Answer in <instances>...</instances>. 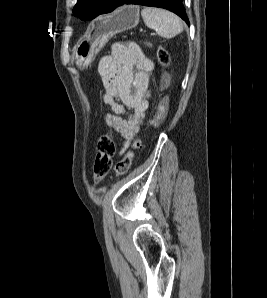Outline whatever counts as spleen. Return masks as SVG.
<instances>
[{
    "mask_svg": "<svg viewBox=\"0 0 267 298\" xmlns=\"http://www.w3.org/2000/svg\"><path fill=\"white\" fill-rule=\"evenodd\" d=\"M141 16L147 27L154 29L156 33L164 38H173L183 31V23L174 13L152 7H145Z\"/></svg>",
    "mask_w": 267,
    "mask_h": 298,
    "instance_id": "3e777b00",
    "label": "spleen"
}]
</instances>
